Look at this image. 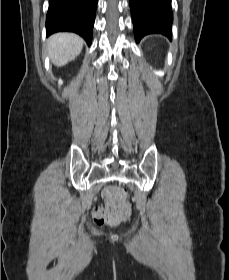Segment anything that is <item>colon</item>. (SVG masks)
<instances>
[{
  "label": "colon",
  "mask_w": 229,
  "mask_h": 280,
  "mask_svg": "<svg viewBox=\"0 0 229 280\" xmlns=\"http://www.w3.org/2000/svg\"><path fill=\"white\" fill-rule=\"evenodd\" d=\"M106 207H98L94 212L97 225L117 224L131 213V206L127 200V193L120 185H112L103 192Z\"/></svg>",
  "instance_id": "colon-1"
}]
</instances>
